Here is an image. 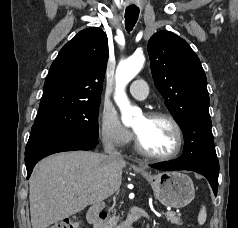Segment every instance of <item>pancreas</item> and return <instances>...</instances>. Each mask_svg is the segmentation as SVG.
Wrapping results in <instances>:
<instances>
[{
  "label": "pancreas",
  "mask_w": 238,
  "mask_h": 228,
  "mask_svg": "<svg viewBox=\"0 0 238 228\" xmlns=\"http://www.w3.org/2000/svg\"><path fill=\"white\" fill-rule=\"evenodd\" d=\"M166 219H167V221L171 222L172 224H175V225H178V226L183 224V221L175 215L174 216L166 215ZM118 221H119V218L116 216V211L114 210V214L109 220L108 228H119L117 226Z\"/></svg>",
  "instance_id": "pancreas-1"
}]
</instances>
